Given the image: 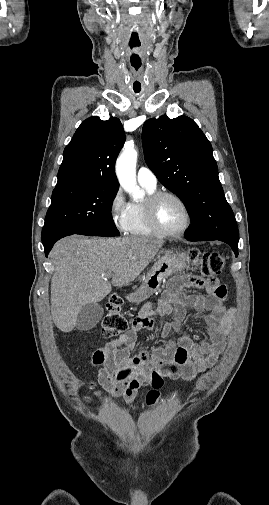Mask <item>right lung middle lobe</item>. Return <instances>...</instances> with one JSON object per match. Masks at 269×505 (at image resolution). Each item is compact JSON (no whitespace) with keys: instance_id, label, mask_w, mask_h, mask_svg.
<instances>
[{"instance_id":"dd1d6c3e","label":"right lung middle lobe","mask_w":269,"mask_h":505,"mask_svg":"<svg viewBox=\"0 0 269 505\" xmlns=\"http://www.w3.org/2000/svg\"><path fill=\"white\" fill-rule=\"evenodd\" d=\"M117 191V187L102 185L56 187L42 230V241L60 233L119 236L111 215Z\"/></svg>"}]
</instances>
